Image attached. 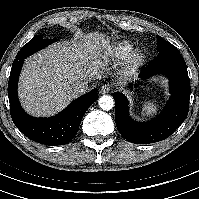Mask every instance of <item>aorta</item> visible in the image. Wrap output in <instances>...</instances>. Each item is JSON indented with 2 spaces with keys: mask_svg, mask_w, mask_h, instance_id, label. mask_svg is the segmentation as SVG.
<instances>
[{
  "mask_svg": "<svg viewBox=\"0 0 199 199\" xmlns=\"http://www.w3.org/2000/svg\"><path fill=\"white\" fill-rule=\"evenodd\" d=\"M99 107L102 110L108 111L114 107V99L109 95H104L99 98Z\"/></svg>",
  "mask_w": 199,
  "mask_h": 199,
  "instance_id": "762f6f07",
  "label": "aorta"
}]
</instances>
